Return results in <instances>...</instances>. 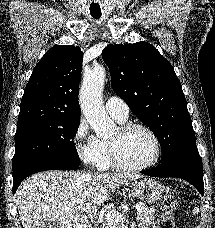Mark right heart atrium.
<instances>
[{
  "label": "right heart atrium",
  "mask_w": 215,
  "mask_h": 228,
  "mask_svg": "<svg viewBox=\"0 0 215 228\" xmlns=\"http://www.w3.org/2000/svg\"><path fill=\"white\" fill-rule=\"evenodd\" d=\"M72 144L78 159L84 164H93L99 156V142L91 133L90 126L84 117L78 120L73 131Z\"/></svg>",
  "instance_id": "1"
}]
</instances>
